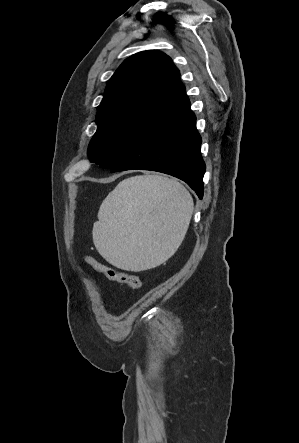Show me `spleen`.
I'll list each match as a JSON object with an SVG mask.
<instances>
[{
	"label": "spleen",
	"instance_id": "obj_1",
	"mask_svg": "<svg viewBox=\"0 0 299 443\" xmlns=\"http://www.w3.org/2000/svg\"><path fill=\"white\" fill-rule=\"evenodd\" d=\"M193 209L192 196L176 180L159 175L127 178L100 206L94 245L117 268H154L181 245Z\"/></svg>",
	"mask_w": 299,
	"mask_h": 443
}]
</instances>
